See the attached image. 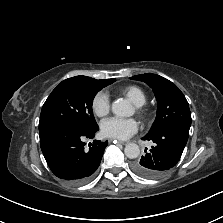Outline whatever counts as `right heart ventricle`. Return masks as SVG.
<instances>
[{"instance_id": "right-heart-ventricle-1", "label": "right heart ventricle", "mask_w": 223, "mask_h": 223, "mask_svg": "<svg viewBox=\"0 0 223 223\" xmlns=\"http://www.w3.org/2000/svg\"><path fill=\"white\" fill-rule=\"evenodd\" d=\"M119 92L126 96L134 105H143L147 95L145 91L137 85H127L119 89Z\"/></svg>"}]
</instances>
